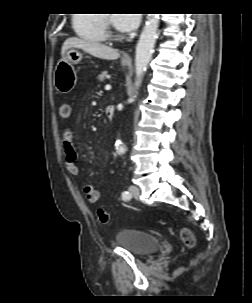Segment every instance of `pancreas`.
Listing matches in <instances>:
<instances>
[{"label":"pancreas","mask_w":252,"mask_h":303,"mask_svg":"<svg viewBox=\"0 0 252 303\" xmlns=\"http://www.w3.org/2000/svg\"><path fill=\"white\" fill-rule=\"evenodd\" d=\"M107 76V72H102L97 76L98 81L103 82Z\"/></svg>","instance_id":"pancreas-1"}]
</instances>
